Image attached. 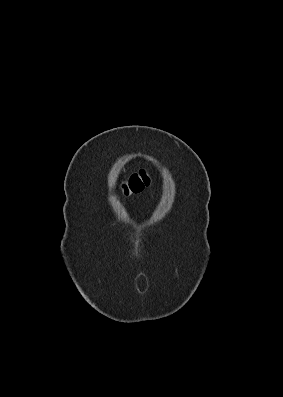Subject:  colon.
I'll use <instances>...</instances> for the list:
<instances>
[{
    "label": "colon",
    "mask_w": 283,
    "mask_h": 397,
    "mask_svg": "<svg viewBox=\"0 0 283 397\" xmlns=\"http://www.w3.org/2000/svg\"><path fill=\"white\" fill-rule=\"evenodd\" d=\"M150 182L149 173L143 169L139 170L123 182L122 192L126 196L141 192L145 187L149 186Z\"/></svg>",
    "instance_id": "colon-1"
}]
</instances>
